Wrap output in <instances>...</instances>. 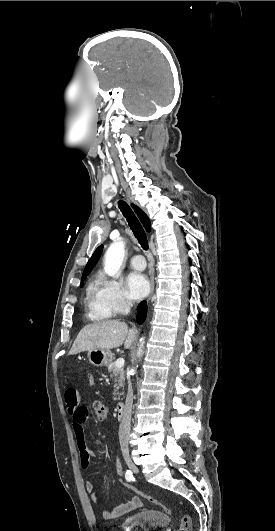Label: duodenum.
I'll return each instance as SVG.
<instances>
[{
  "mask_svg": "<svg viewBox=\"0 0 275 531\" xmlns=\"http://www.w3.org/2000/svg\"><path fill=\"white\" fill-rule=\"evenodd\" d=\"M125 403L124 402H120L117 406H116V410H117V414H118V418H122L124 417L125 415Z\"/></svg>",
  "mask_w": 275,
  "mask_h": 531,
  "instance_id": "obj_1",
  "label": "duodenum"
}]
</instances>
